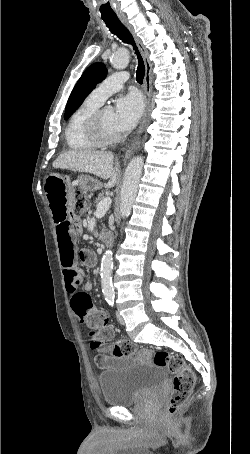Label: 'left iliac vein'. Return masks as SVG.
Listing matches in <instances>:
<instances>
[{"mask_svg":"<svg viewBox=\"0 0 250 454\" xmlns=\"http://www.w3.org/2000/svg\"><path fill=\"white\" fill-rule=\"evenodd\" d=\"M116 317H117V320L120 324L124 325L125 324V321H124V318L122 317V315L119 313V311L116 312Z\"/></svg>","mask_w":250,"mask_h":454,"instance_id":"left-iliac-vein-1","label":"left iliac vein"}]
</instances>
